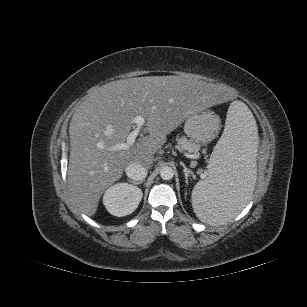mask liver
Here are the masks:
<instances>
[{"instance_id":"obj_1","label":"liver","mask_w":307,"mask_h":307,"mask_svg":"<svg viewBox=\"0 0 307 307\" xmlns=\"http://www.w3.org/2000/svg\"><path fill=\"white\" fill-rule=\"evenodd\" d=\"M229 90L182 76L135 77L94 87L75 110L70 126L68 187L74 203L94 216L104 191L138 163L150 167L154 154L191 113L229 101ZM146 120L141 136L126 150L134 118ZM100 145L102 147H100Z\"/></svg>"}]
</instances>
